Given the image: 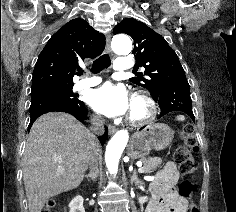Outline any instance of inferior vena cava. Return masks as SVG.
Returning a JSON list of instances; mask_svg holds the SVG:
<instances>
[{"label": "inferior vena cava", "mask_w": 236, "mask_h": 212, "mask_svg": "<svg viewBox=\"0 0 236 212\" xmlns=\"http://www.w3.org/2000/svg\"><path fill=\"white\" fill-rule=\"evenodd\" d=\"M104 123H105V120L102 117H94L92 119L91 131L94 137L96 135H102L104 133ZM97 156H98V150H94L92 157L90 159V162H89L90 173L92 174L96 173V177L98 174Z\"/></svg>", "instance_id": "1"}]
</instances>
